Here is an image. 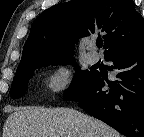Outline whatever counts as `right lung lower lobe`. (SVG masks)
I'll use <instances>...</instances> for the list:
<instances>
[{"label": "right lung lower lobe", "mask_w": 144, "mask_h": 137, "mask_svg": "<svg viewBox=\"0 0 144 137\" xmlns=\"http://www.w3.org/2000/svg\"><path fill=\"white\" fill-rule=\"evenodd\" d=\"M105 60L113 62L116 80L97 71L74 101L125 136L144 137V38L111 51Z\"/></svg>", "instance_id": "obj_1"}]
</instances>
